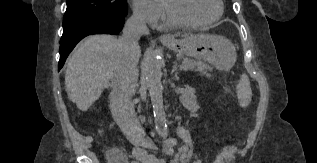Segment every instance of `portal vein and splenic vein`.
<instances>
[{"mask_svg": "<svg viewBox=\"0 0 317 163\" xmlns=\"http://www.w3.org/2000/svg\"><path fill=\"white\" fill-rule=\"evenodd\" d=\"M181 68H182V69H184V70H186V69H187L186 67H183V66H181Z\"/></svg>", "mask_w": 317, "mask_h": 163, "instance_id": "portal-vein-and-splenic-vein-1", "label": "portal vein and splenic vein"}]
</instances>
